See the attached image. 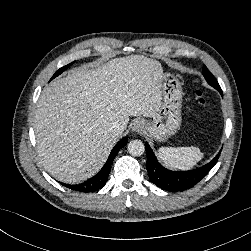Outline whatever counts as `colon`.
<instances>
[{"label": "colon", "mask_w": 251, "mask_h": 251, "mask_svg": "<svg viewBox=\"0 0 251 251\" xmlns=\"http://www.w3.org/2000/svg\"><path fill=\"white\" fill-rule=\"evenodd\" d=\"M195 98H196V101L197 103L203 107L206 105L207 103V99H206V96L205 94L201 91V90H197L196 93H195Z\"/></svg>", "instance_id": "obj_1"}]
</instances>
